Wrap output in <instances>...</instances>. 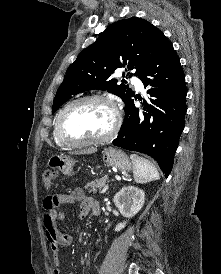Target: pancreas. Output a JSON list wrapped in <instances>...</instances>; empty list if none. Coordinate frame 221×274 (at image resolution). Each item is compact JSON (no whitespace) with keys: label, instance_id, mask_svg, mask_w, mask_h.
Listing matches in <instances>:
<instances>
[{"label":"pancreas","instance_id":"cf45deb5","mask_svg":"<svg viewBox=\"0 0 221 274\" xmlns=\"http://www.w3.org/2000/svg\"><path fill=\"white\" fill-rule=\"evenodd\" d=\"M108 183V177H102L95 179L94 181H91L90 183H87L85 185V189H87L89 192H97L101 189H104L107 186Z\"/></svg>","mask_w":221,"mask_h":274}]
</instances>
